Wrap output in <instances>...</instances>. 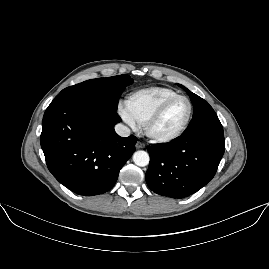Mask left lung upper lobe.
<instances>
[{
	"label": "left lung upper lobe",
	"mask_w": 269,
	"mask_h": 269,
	"mask_svg": "<svg viewBox=\"0 0 269 269\" xmlns=\"http://www.w3.org/2000/svg\"><path fill=\"white\" fill-rule=\"evenodd\" d=\"M177 85L187 92L194 106L192 120L183 134H189L208 127L221 126L215 111L207 101L192 93L186 87L180 84Z\"/></svg>",
	"instance_id": "1"
}]
</instances>
